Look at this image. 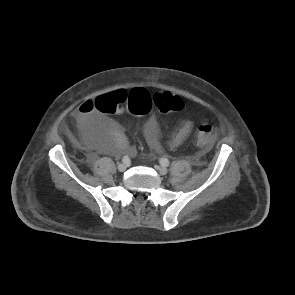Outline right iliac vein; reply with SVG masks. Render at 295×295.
Instances as JSON below:
<instances>
[{"instance_id": "1", "label": "right iliac vein", "mask_w": 295, "mask_h": 295, "mask_svg": "<svg viewBox=\"0 0 295 295\" xmlns=\"http://www.w3.org/2000/svg\"><path fill=\"white\" fill-rule=\"evenodd\" d=\"M126 168H127V164L126 163H121V164L118 165V170L120 172H124L126 170Z\"/></svg>"}]
</instances>
